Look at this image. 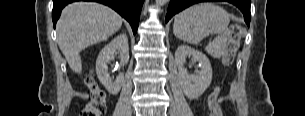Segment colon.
Wrapping results in <instances>:
<instances>
[{
    "label": "colon",
    "mask_w": 305,
    "mask_h": 116,
    "mask_svg": "<svg viewBox=\"0 0 305 116\" xmlns=\"http://www.w3.org/2000/svg\"><path fill=\"white\" fill-rule=\"evenodd\" d=\"M238 34L231 32L229 34L228 46L223 55L222 62L224 65H230L234 59L237 49ZM86 86L90 92L91 98L85 108L81 111L80 116H102L107 110V99L105 92L99 87L95 79L91 76L86 78ZM220 89H215L208 97V107L210 116H222V109L219 103Z\"/></svg>",
    "instance_id": "1"
}]
</instances>
